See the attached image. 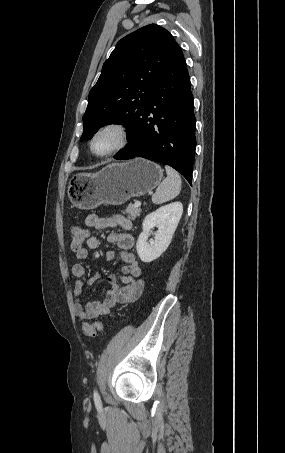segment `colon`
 <instances>
[{"mask_svg":"<svg viewBox=\"0 0 285 453\" xmlns=\"http://www.w3.org/2000/svg\"><path fill=\"white\" fill-rule=\"evenodd\" d=\"M87 238L86 230L80 226H75L71 229V250L74 253H78L83 249V244ZM102 329L101 322L85 323L83 325V333L87 338H93L97 332Z\"/></svg>","mask_w":285,"mask_h":453,"instance_id":"obj_1","label":"colon"}]
</instances>
